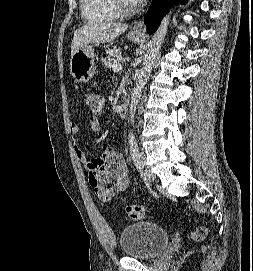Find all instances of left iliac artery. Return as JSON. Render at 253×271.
<instances>
[{
  "label": "left iliac artery",
  "mask_w": 253,
  "mask_h": 271,
  "mask_svg": "<svg viewBox=\"0 0 253 271\" xmlns=\"http://www.w3.org/2000/svg\"><path fill=\"white\" fill-rule=\"evenodd\" d=\"M129 144H130V154H131L132 160L135 166L141 170L140 152H139L138 144L135 140H131Z\"/></svg>",
  "instance_id": "44dca946"
}]
</instances>
